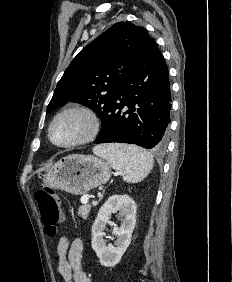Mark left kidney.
I'll list each match as a JSON object with an SVG mask.
<instances>
[{
	"label": "left kidney",
	"mask_w": 232,
	"mask_h": 282,
	"mask_svg": "<svg viewBox=\"0 0 232 282\" xmlns=\"http://www.w3.org/2000/svg\"><path fill=\"white\" fill-rule=\"evenodd\" d=\"M120 211L122 223L113 228V235L117 236L115 246H106L103 239L106 224L110 215ZM136 224V204L128 195H112L100 208L92 226V248L96 252L100 263L105 267H113L119 263L126 249L131 243L132 232Z\"/></svg>",
	"instance_id": "1"
}]
</instances>
